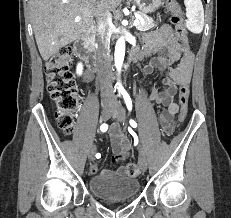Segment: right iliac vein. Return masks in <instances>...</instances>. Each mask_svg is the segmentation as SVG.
Returning a JSON list of instances; mask_svg holds the SVG:
<instances>
[{
    "mask_svg": "<svg viewBox=\"0 0 231 218\" xmlns=\"http://www.w3.org/2000/svg\"><path fill=\"white\" fill-rule=\"evenodd\" d=\"M113 106L109 105V104H105L103 107H102V119L104 121L108 120L112 113H113ZM95 153H96V146L95 145H91L90 148H89V151H88V158L89 160H93L94 159V156H95Z\"/></svg>",
    "mask_w": 231,
    "mask_h": 218,
    "instance_id": "right-iliac-vein-1",
    "label": "right iliac vein"
}]
</instances>
